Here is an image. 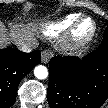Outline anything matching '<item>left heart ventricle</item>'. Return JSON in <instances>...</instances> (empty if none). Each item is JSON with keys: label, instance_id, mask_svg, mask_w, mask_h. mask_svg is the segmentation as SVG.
Listing matches in <instances>:
<instances>
[{"label": "left heart ventricle", "instance_id": "left-heart-ventricle-1", "mask_svg": "<svg viewBox=\"0 0 108 108\" xmlns=\"http://www.w3.org/2000/svg\"><path fill=\"white\" fill-rule=\"evenodd\" d=\"M88 28H89V23H85V24L82 26V32L87 31Z\"/></svg>", "mask_w": 108, "mask_h": 108}]
</instances>
